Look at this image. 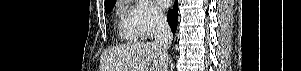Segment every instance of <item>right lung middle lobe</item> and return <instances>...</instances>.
Listing matches in <instances>:
<instances>
[{"label": "right lung middle lobe", "instance_id": "1", "mask_svg": "<svg viewBox=\"0 0 301 71\" xmlns=\"http://www.w3.org/2000/svg\"><path fill=\"white\" fill-rule=\"evenodd\" d=\"M114 4H115V0L108 4H105V12L106 13L110 12L113 9Z\"/></svg>", "mask_w": 301, "mask_h": 71}]
</instances>
